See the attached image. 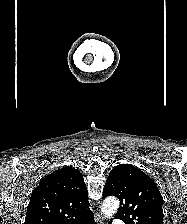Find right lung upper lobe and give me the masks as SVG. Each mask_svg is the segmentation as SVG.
Masks as SVG:
<instances>
[{
  "instance_id": "right-lung-upper-lobe-1",
  "label": "right lung upper lobe",
  "mask_w": 187,
  "mask_h": 224,
  "mask_svg": "<svg viewBox=\"0 0 187 224\" xmlns=\"http://www.w3.org/2000/svg\"><path fill=\"white\" fill-rule=\"evenodd\" d=\"M93 218L83 176L67 166L47 175L32 192L25 224H85Z\"/></svg>"
}]
</instances>
